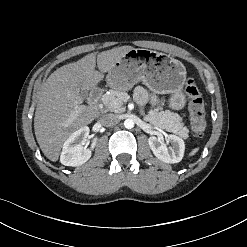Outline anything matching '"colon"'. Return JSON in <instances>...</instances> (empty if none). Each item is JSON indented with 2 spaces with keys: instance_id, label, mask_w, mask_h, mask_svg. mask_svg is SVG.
<instances>
[{
  "instance_id": "obj_1",
  "label": "colon",
  "mask_w": 247,
  "mask_h": 247,
  "mask_svg": "<svg viewBox=\"0 0 247 247\" xmlns=\"http://www.w3.org/2000/svg\"><path fill=\"white\" fill-rule=\"evenodd\" d=\"M184 92L188 100L192 132L195 136H201L206 129V112L203 99L193 79H187Z\"/></svg>"
}]
</instances>
